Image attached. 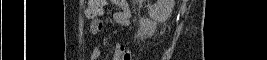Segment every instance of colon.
Instances as JSON below:
<instances>
[{"instance_id": "colon-1", "label": "colon", "mask_w": 267, "mask_h": 60, "mask_svg": "<svg viewBox=\"0 0 267 60\" xmlns=\"http://www.w3.org/2000/svg\"><path fill=\"white\" fill-rule=\"evenodd\" d=\"M88 2L91 4L93 14L98 13L105 4V0H89Z\"/></svg>"}]
</instances>
